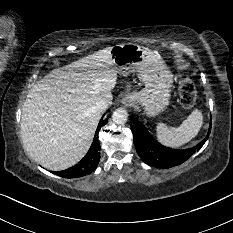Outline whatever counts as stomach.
Wrapping results in <instances>:
<instances>
[{
    "label": "stomach",
    "mask_w": 233,
    "mask_h": 233,
    "mask_svg": "<svg viewBox=\"0 0 233 233\" xmlns=\"http://www.w3.org/2000/svg\"><path fill=\"white\" fill-rule=\"evenodd\" d=\"M114 67L122 75L137 73L145 87L126 96L134 104L143 106L148 116H156L169 105L173 74L160 56L146 47L133 43L111 47Z\"/></svg>",
    "instance_id": "1"
}]
</instances>
